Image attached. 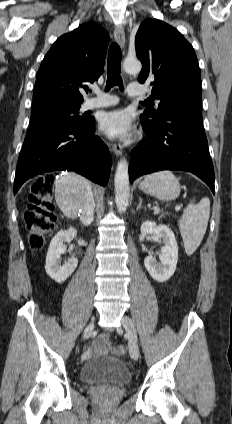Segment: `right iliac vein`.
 <instances>
[{"label":"right iliac vein","instance_id":"63e3f726","mask_svg":"<svg viewBox=\"0 0 232 424\" xmlns=\"http://www.w3.org/2000/svg\"><path fill=\"white\" fill-rule=\"evenodd\" d=\"M93 331H94V322L92 321L91 323L87 325V327L85 328L83 332V340L88 339L93 333Z\"/></svg>","mask_w":232,"mask_h":424}]
</instances>
